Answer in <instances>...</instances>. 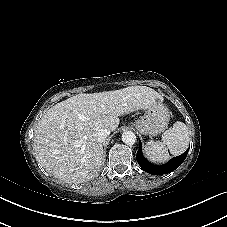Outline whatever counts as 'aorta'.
<instances>
[{
    "mask_svg": "<svg viewBox=\"0 0 227 227\" xmlns=\"http://www.w3.org/2000/svg\"><path fill=\"white\" fill-rule=\"evenodd\" d=\"M122 141L126 145H133L136 142V135L132 131H125L122 134Z\"/></svg>",
    "mask_w": 227,
    "mask_h": 227,
    "instance_id": "762f6f07",
    "label": "aorta"
}]
</instances>
